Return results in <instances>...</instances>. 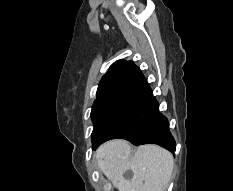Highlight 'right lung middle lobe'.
Instances as JSON below:
<instances>
[{
  "label": "right lung middle lobe",
  "instance_id": "dd1d6c3e",
  "mask_svg": "<svg viewBox=\"0 0 233 191\" xmlns=\"http://www.w3.org/2000/svg\"><path fill=\"white\" fill-rule=\"evenodd\" d=\"M127 98L128 96L125 93L94 102L91 111L94 126L91 137L92 145L100 138L126 106Z\"/></svg>",
  "mask_w": 233,
  "mask_h": 191
}]
</instances>
